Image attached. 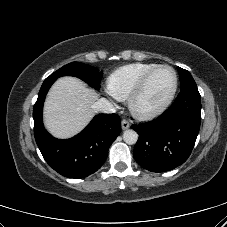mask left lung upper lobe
<instances>
[{
    "label": "left lung upper lobe",
    "instance_id": "obj_1",
    "mask_svg": "<svg viewBox=\"0 0 227 227\" xmlns=\"http://www.w3.org/2000/svg\"><path fill=\"white\" fill-rule=\"evenodd\" d=\"M177 69H178V72H179V75H180L181 88H184V87L189 86V85L196 84L193 77L191 76V74L187 70L182 69L180 67H177Z\"/></svg>",
    "mask_w": 227,
    "mask_h": 227
}]
</instances>
